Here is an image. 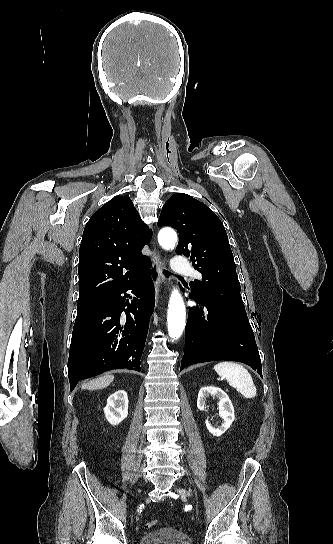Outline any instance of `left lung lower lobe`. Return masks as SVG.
Masks as SVG:
<instances>
[{"label":"left lung lower lobe","mask_w":333,"mask_h":544,"mask_svg":"<svg viewBox=\"0 0 333 544\" xmlns=\"http://www.w3.org/2000/svg\"><path fill=\"white\" fill-rule=\"evenodd\" d=\"M190 308L185 328V352L180 371L186 366L207 361L243 362L262 377L259 351L249 321L198 299Z\"/></svg>","instance_id":"obj_1"}]
</instances>
